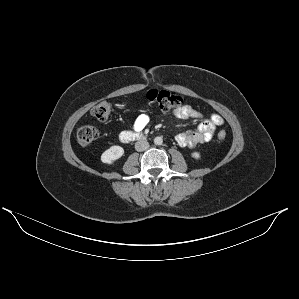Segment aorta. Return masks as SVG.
Here are the masks:
<instances>
[{
    "mask_svg": "<svg viewBox=\"0 0 299 299\" xmlns=\"http://www.w3.org/2000/svg\"><path fill=\"white\" fill-rule=\"evenodd\" d=\"M162 143H163L162 137L157 136V137L154 138V144L155 145H162Z\"/></svg>",
    "mask_w": 299,
    "mask_h": 299,
    "instance_id": "762f6f07",
    "label": "aorta"
}]
</instances>
